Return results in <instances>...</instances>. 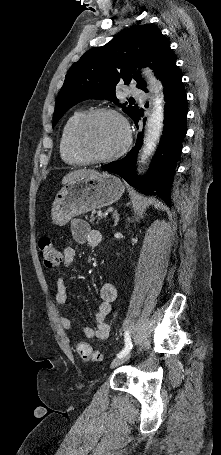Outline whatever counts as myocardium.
<instances>
[{
    "label": "myocardium",
    "instance_id": "obj_1",
    "mask_svg": "<svg viewBox=\"0 0 221 455\" xmlns=\"http://www.w3.org/2000/svg\"><path fill=\"white\" fill-rule=\"evenodd\" d=\"M103 115H111L116 117L122 123L125 132V140L122 146L112 154L107 156H94L92 155L83 144V133L85 127L95 118ZM73 143L77 152L84 157L88 163H107L111 162L122 155L129 149L132 143V131L128 120L116 109L101 107L86 112L76 123L73 131Z\"/></svg>",
    "mask_w": 221,
    "mask_h": 455
}]
</instances>
